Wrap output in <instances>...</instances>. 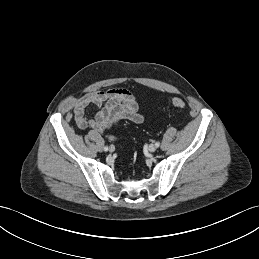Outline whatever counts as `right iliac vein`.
Instances as JSON below:
<instances>
[{
	"mask_svg": "<svg viewBox=\"0 0 259 259\" xmlns=\"http://www.w3.org/2000/svg\"><path fill=\"white\" fill-rule=\"evenodd\" d=\"M114 150H115V147H114L113 145H111V146L109 147V151H110V152H114Z\"/></svg>",
	"mask_w": 259,
	"mask_h": 259,
	"instance_id": "obj_1",
	"label": "right iliac vein"
}]
</instances>
